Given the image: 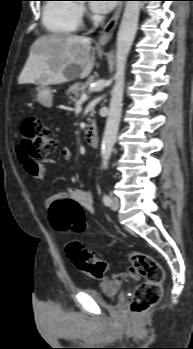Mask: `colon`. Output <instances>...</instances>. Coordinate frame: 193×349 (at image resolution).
I'll return each mask as SVG.
<instances>
[{
	"label": "colon",
	"instance_id": "1",
	"mask_svg": "<svg viewBox=\"0 0 193 349\" xmlns=\"http://www.w3.org/2000/svg\"><path fill=\"white\" fill-rule=\"evenodd\" d=\"M21 129L23 139L20 148L29 160V169L35 170L38 162L45 160L56 150L55 134L37 116L25 118ZM83 216V208L72 200H57L50 206L51 225L60 232L80 231ZM66 252L73 265L88 277L99 280L105 277L107 263L88 251L80 241L69 239ZM127 257L138 275L143 278L130 302L132 313L142 315L161 298L164 270L151 255L128 251Z\"/></svg>",
	"mask_w": 193,
	"mask_h": 349
}]
</instances>
